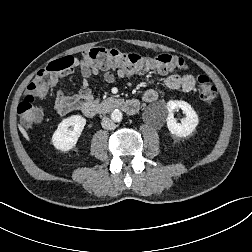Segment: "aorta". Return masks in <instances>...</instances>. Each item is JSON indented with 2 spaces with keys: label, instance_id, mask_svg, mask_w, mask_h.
<instances>
[{
  "label": "aorta",
  "instance_id": "762f6f07",
  "mask_svg": "<svg viewBox=\"0 0 252 252\" xmlns=\"http://www.w3.org/2000/svg\"><path fill=\"white\" fill-rule=\"evenodd\" d=\"M123 118V114L119 109H115L112 113H111V119L114 122H120L122 121Z\"/></svg>",
  "mask_w": 252,
  "mask_h": 252
}]
</instances>
